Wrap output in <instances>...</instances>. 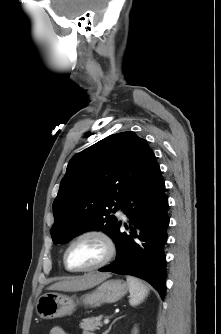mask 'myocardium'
I'll list each match as a JSON object with an SVG mask.
<instances>
[{"label":"myocardium","instance_id":"f54148a6","mask_svg":"<svg viewBox=\"0 0 221 334\" xmlns=\"http://www.w3.org/2000/svg\"><path fill=\"white\" fill-rule=\"evenodd\" d=\"M88 237H94L102 241V243L105 246V255L104 257L96 264L89 266V267H84V268H75L70 266L69 261H68V254L72 246L77 243L78 241L88 238ZM116 253V244L113 238L104 230L101 229H87L79 234H77L75 237L71 239V241L68 243L64 254H63V262L67 270L72 271V272H89V271H94L97 269H100L104 266H106L114 257Z\"/></svg>","mask_w":221,"mask_h":334}]
</instances>
